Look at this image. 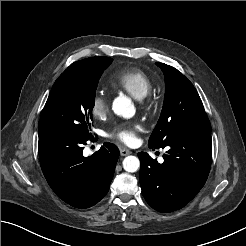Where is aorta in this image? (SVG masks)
I'll return each instance as SVG.
<instances>
[{
    "instance_id": "762f6f07",
    "label": "aorta",
    "mask_w": 246,
    "mask_h": 246,
    "mask_svg": "<svg viewBox=\"0 0 246 246\" xmlns=\"http://www.w3.org/2000/svg\"><path fill=\"white\" fill-rule=\"evenodd\" d=\"M112 109L118 116L131 118L135 115L136 109L132 100L126 96H119L113 101ZM140 167V161L135 156H127L123 160V168L127 172H136Z\"/></svg>"
}]
</instances>
